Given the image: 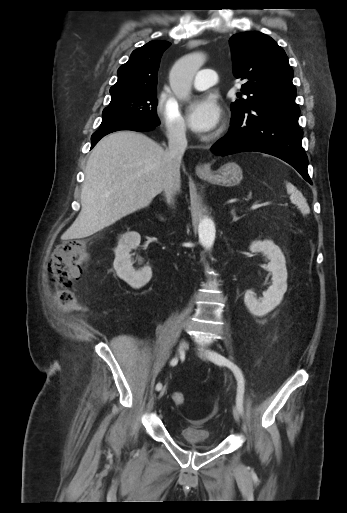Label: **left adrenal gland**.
Segmentation results:
<instances>
[{"label":"left adrenal gland","mask_w":347,"mask_h":513,"mask_svg":"<svg viewBox=\"0 0 347 513\" xmlns=\"http://www.w3.org/2000/svg\"><path fill=\"white\" fill-rule=\"evenodd\" d=\"M231 215H232V217H233V220H232L233 222H236L237 220H239V219H240V217H237L236 212H235V209H232V210H231Z\"/></svg>","instance_id":"a2214340"}]
</instances>
